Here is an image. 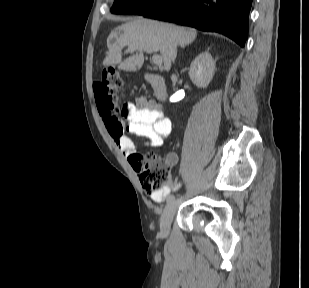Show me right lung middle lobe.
I'll return each instance as SVG.
<instances>
[{"mask_svg":"<svg viewBox=\"0 0 309 288\" xmlns=\"http://www.w3.org/2000/svg\"><path fill=\"white\" fill-rule=\"evenodd\" d=\"M165 0H115L111 12L113 14H137L153 9Z\"/></svg>","mask_w":309,"mask_h":288,"instance_id":"1","label":"right lung middle lobe"}]
</instances>
